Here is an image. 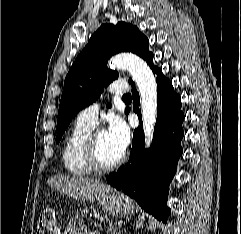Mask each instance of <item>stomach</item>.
Masks as SVG:
<instances>
[{"label": "stomach", "instance_id": "obj_1", "mask_svg": "<svg viewBox=\"0 0 241 234\" xmlns=\"http://www.w3.org/2000/svg\"><path fill=\"white\" fill-rule=\"evenodd\" d=\"M100 204L105 212L110 214H128L133 211V206L115 194H106L100 198ZM64 234H84L81 230L80 223L75 219H71L66 226Z\"/></svg>", "mask_w": 241, "mask_h": 234}]
</instances>
